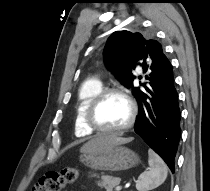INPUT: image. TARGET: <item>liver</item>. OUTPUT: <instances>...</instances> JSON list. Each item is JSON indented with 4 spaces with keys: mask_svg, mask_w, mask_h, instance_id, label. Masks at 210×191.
I'll list each match as a JSON object with an SVG mask.
<instances>
[{
    "mask_svg": "<svg viewBox=\"0 0 210 191\" xmlns=\"http://www.w3.org/2000/svg\"><path fill=\"white\" fill-rule=\"evenodd\" d=\"M130 141H132V138H122L116 134L99 135L84 144L80 151H90L110 145L125 144Z\"/></svg>",
    "mask_w": 210,
    "mask_h": 191,
    "instance_id": "obj_1",
    "label": "liver"
}]
</instances>
